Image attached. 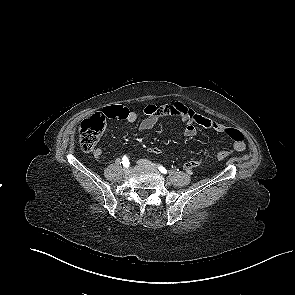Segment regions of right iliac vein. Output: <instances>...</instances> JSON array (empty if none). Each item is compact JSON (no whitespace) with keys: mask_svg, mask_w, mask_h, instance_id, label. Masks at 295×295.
<instances>
[{"mask_svg":"<svg viewBox=\"0 0 295 295\" xmlns=\"http://www.w3.org/2000/svg\"><path fill=\"white\" fill-rule=\"evenodd\" d=\"M129 172H130V168H129V167H125V168H124V173L127 174V173H129Z\"/></svg>","mask_w":295,"mask_h":295,"instance_id":"obj_1","label":"right iliac vein"}]
</instances>
